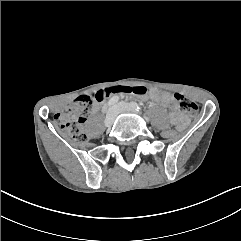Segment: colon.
Here are the masks:
<instances>
[{
	"label": "colon",
	"mask_w": 241,
	"mask_h": 241,
	"mask_svg": "<svg viewBox=\"0 0 241 241\" xmlns=\"http://www.w3.org/2000/svg\"><path fill=\"white\" fill-rule=\"evenodd\" d=\"M148 92V88L144 86H116L104 88L92 95H83L78 97L65 111L58 112L55 115V120L60 128L72 138L76 140H84L86 138L82 127L85 120L84 115L88 110V107L94 102L102 101L115 93L143 96ZM174 99L178 103L182 112L190 117L197 116L198 106L195 102L180 93H175ZM159 136L169 140L177 136V131L175 129H161L159 131Z\"/></svg>",
	"instance_id": "obj_1"
}]
</instances>
